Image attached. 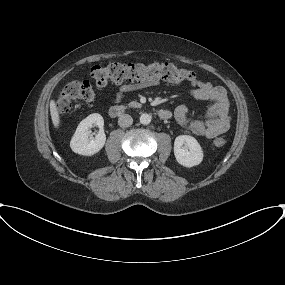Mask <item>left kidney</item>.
<instances>
[{
	"label": "left kidney",
	"mask_w": 285,
	"mask_h": 285,
	"mask_svg": "<svg viewBox=\"0 0 285 285\" xmlns=\"http://www.w3.org/2000/svg\"><path fill=\"white\" fill-rule=\"evenodd\" d=\"M174 155L184 167L199 165L203 160V151L198 141L189 135H179L174 142Z\"/></svg>",
	"instance_id": "1"
}]
</instances>
